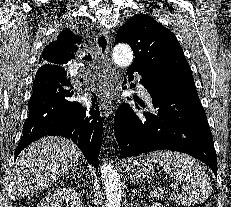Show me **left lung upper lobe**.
<instances>
[{"label": "left lung upper lobe", "mask_w": 231, "mask_h": 207, "mask_svg": "<svg viewBox=\"0 0 231 207\" xmlns=\"http://www.w3.org/2000/svg\"><path fill=\"white\" fill-rule=\"evenodd\" d=\"M116 41L128 43L135 52L129 68L161 74L167 79V90L195 86L175 35L153 18L144 14L134 15L119 28Z\"/></svg>", "instance_id": "obj_1"}]
</instances>
